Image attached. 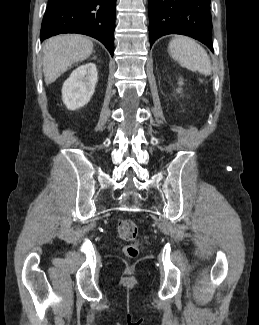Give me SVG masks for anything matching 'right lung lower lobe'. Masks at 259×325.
Segmentation results:
<instances>
[{
	"mask_svg": "<svg viewBox=\"0 0 259 325\" xmlns=\"http://www.w3.org/2000/svg\"><path fill=\"white\" fill-rule=\"evenodd\" d=\"M116 0H49L41 41L60 33H80L98 39L113 56Z\"/></svg>",
	"mask_w": 259,
	"mask_h": 325,
	"instance_id": "right-lung-lower-lobe-1",
	"label": "right lung lower lobe"
}]
</instances>
